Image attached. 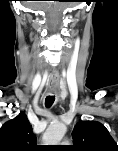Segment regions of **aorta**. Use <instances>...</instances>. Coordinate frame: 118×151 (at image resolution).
<instances>
[{"instance_id":"obj_1","label":"aorta","mask_w":118,"mask_h":151,"mask_svg":"<svg viewBox=\"0 0 118 151\" xmlns=\"http://www.w3.org/2000/svg\"><path fill=\"white\" fill-rule=\"evenodd\" d=\"M67 127L61 122L52 123L43 134L45 145H58L66 134Z\"/></svg>"}]
</instances>
